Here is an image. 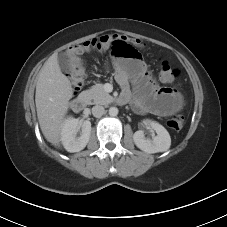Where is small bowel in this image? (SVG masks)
<instances>
[{
  "label": "small bowel",
  "mask_w": 227,
  "mask_h": 227,
  "mask_svg": "<svg viewBox=\"0 0 227 227\" xmlns=\"http://www.w3.org/2000/svg\"><path fill=\"white\" fill-rule=\"evenodd\" d=\"M85 69V60L73 56L67 62L66 73L72 79H79L84 75ZM115 79L122 89L121 103L132 101L139 113L152 112L169 116L181 107V95L174 89L158 87L139 59L118 63Z\"/></svg>",
  "instance_id": "obj_1"
}]
</instances>
